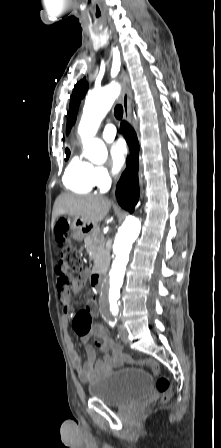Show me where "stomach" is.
<instances>
[{
	"label": "stomach",
	"mask_w": 221,
	"mask_h": 448,
	"mask_svg": "<svg viewBox=\"0 0 221 448\" xmlns=\"http://www.w3.org/2000/svg\"><path fill=\"white\" fill-rule=\"evenodd\" d=\"M69 224L72 230V236L77 241H82L88 237L96 228V224L88 223L82 218H74Z\"/></svg>",
	"instance_id": "stomach-1"
}]
</instances>
